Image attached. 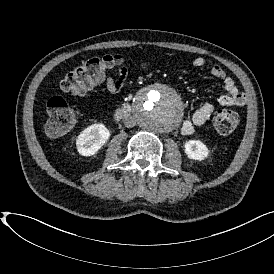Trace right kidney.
I'll return each mask as SVG.
<instances>
[{"instance_id":"ca27d5eb","label":"right kidney","mask_w":274,"mask_h":274,"mask_svg":"<svg viewBox=\"0 0 274 274\" xmlns=\"http://www.w3.org/2000/svg\"><path fill=\"white\" fill-rule=\"evenodd\" d=\"M110 138V131L102 123L85 128L76 139L77 151L82 156L94 155Z\"/></svg>"}]
</instances>
